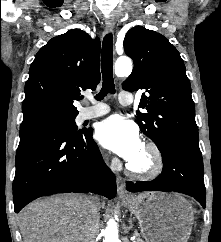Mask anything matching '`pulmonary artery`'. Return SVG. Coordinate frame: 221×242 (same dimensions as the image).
Listing matches in <instances>:
<instances>
[{
  "mask_svg": "<svg viewBox=\"0 0 221 242\" xmlns=\"http://www.w3.org/2000/svg\"><path fill=\"white\" fill-rule=\"evenodd\" d=\"M90 101L92 102V106L85 108L81 113V117L83 120L97 118L107 114L110 111L107 105L101 102H96L91 98H90ZM119 102L122 105H130L133 102L131 94L127 92L120 93Z\"/></svg>",
  "mask_w": 221,
  "mask_h": 242,
  "instance_id": "1",
  "label": "pulmonary artery"
}]
</instances>
